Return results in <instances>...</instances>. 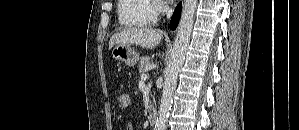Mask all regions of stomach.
Segmentation results:
<instances>
[{
	"label": "stomach",
	"instance_id": "1",
	"mask_svg": "<svg viewBox=\"0 0 299 130\" xmlns=\"http://www.w3.org/2000/svg\"><path fill=\"white\" fill-rule=\"evenodd\" d=\"M111 56L115 61L123 62L130 67L135 66L139 60L137 52L131 47L130 44L115 45L111 51Z\"/></svg>",
	"mask_w": 299,
	"mask_h": 130
}]
</instances>
